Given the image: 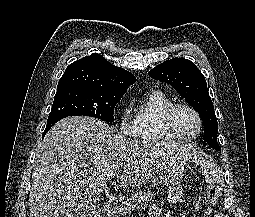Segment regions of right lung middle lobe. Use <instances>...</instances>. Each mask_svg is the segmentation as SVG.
Wrapping results in <instances>:
<instances>
[{
	"label": "right lung middle lobe",
	"instance_id": "1",
	"mask_svg": "<svg viewBox=\"0 0 255 217\" xmlns=\"http://www.w3.org/2000/svg\"><path fill=\"white\" fill-rule=\"evenodd\" d=\"M123 95L124 92H104L80 87L57 89L47 122L58 117L80 115L113 122L114 107Z\"/></svg>",
	"mask_w": 255,
	"mask_h": 217
}]
</instances>
